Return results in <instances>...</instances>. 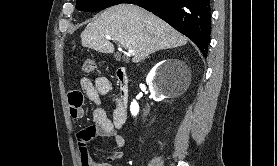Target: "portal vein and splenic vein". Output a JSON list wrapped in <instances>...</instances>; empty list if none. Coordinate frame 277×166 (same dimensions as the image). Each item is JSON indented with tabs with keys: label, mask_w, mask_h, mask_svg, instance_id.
<instances>
[{
	"label": "portal vein and splenic vein",
	"mask_w": 277,
	"mask_h": 166,
	"mask_svg": "<svg viewBox=\"0 0 277 166\" xmlns=\"http://www.w3.org/2000/svg\"><path fill=\"white\" fill-rule=\"evenodd\" d=\"M106 39L110 40L111 36H106ZM128 53H129V55H134V51L133 50H129Z\"/></svg>",
	"instance_id": "portal-vein-and-splenic-vein-1"
}]
</instances>
